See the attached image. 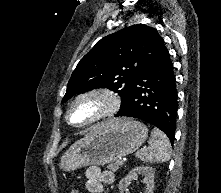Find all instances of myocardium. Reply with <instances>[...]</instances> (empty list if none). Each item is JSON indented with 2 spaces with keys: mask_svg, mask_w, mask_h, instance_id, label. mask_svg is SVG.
I'll return each instance as SVG.
<instances>
[{
  "mask_svg": "<svg viewBox=\"0 0 221 193\" xmlns=\"http://www.w3.org/2000/svg\"><path fill=\"white\" fill-rule=\"evenodd\" d=\"M81 103H93L94 111L83 121H73L75 108ZM120 97L112 89L95 87L77 94L69 103L65 120L67 124L76 129H85L115 115L120 108Z\"/></svg>",
  "mask_w": 221,
  "mask_h": 193,
  "instance_id": "myocardium-1",
  "label": "myocardium"
}]
</instances>
